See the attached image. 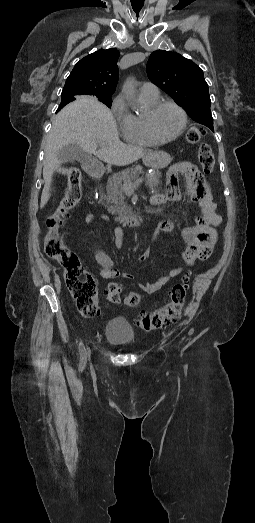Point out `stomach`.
<instances>
[{
    "mask_svg": "<svg viewBox=\"0 0 255 523\" xmlns=\"http://www.w3.org/2000/svg\"><path fill=\"white\" fill-rule=\"evenodd\" d=\"M172 153L170 151H159L158 154H148L145 156L144 164L151 170H161L165 168L163 162H170Z\"/></svg>",
    "mask_w": 255,
    "mask_h": 523,
    "instance_id": "0dacf381",
    "label": "stomach"
}]
</instances>
